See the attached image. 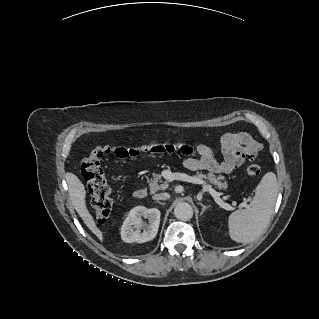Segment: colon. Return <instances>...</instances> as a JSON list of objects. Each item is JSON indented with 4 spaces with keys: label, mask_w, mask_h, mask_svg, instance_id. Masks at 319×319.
<instances>
[{
    "label": "colon",
    "mask_w": 319,
    "mask_h": 319,
    "mask_svg": "<svg viewBox=\"0 0 319 319\" xmlns=\"http://www.w3.org/2000/svg\"><path fill=\"white\" fill-rule=\"evenodd\" d=\"M195 147L185 142H147L140 144H117L93 146L81 163V174L87 182L92 196V210L98 220H106L113 209V192L106 176L103 159L112 154L120 158L136 157L141 153L168 154L178 152L182 155H191ZM251 176L260 174V167L251 164L246 168Z\"/></svg>",
    "instance_id": "1"
}]
</instances>
